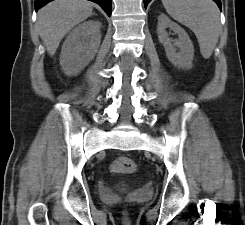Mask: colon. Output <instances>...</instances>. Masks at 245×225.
I'll list each match as a JSON object with an SVG mask.
<instances>
[{"label":"colon","mask_w":245,"mask_h":225,"mask_svg":"<svg viewBox=\"0 0 245 225\" xmlns=\"http://www.w3.org/2000/svg\"><path fill=\"white\" fill-rule=\"evenodd\" d=\"M138 164L128 157H119L112 162L110 169L115 174L133 173L137 170Z\"/></svg>","instance_id":"1"}]
</instances>
